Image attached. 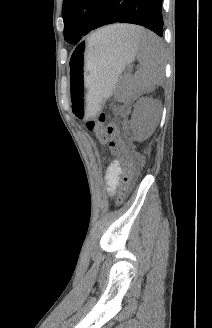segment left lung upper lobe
Wrapping results in <instances>:
<instances>
[{"instance_id":"obj_1","label":"left lung upper lobe","mask_w":212,"mask_h":328,"mask_svg":"<svg viewBox=\"0 0 212 328\" xmlns=\"http://www.w3.org/2000/svg\"><path fill=\"white\" fill-rule=\"evenodd\" d=\"M103 0H64L62 16L64 38L69 43H78L88 34L96 21Z\"/></svg>"}]
</instances>
